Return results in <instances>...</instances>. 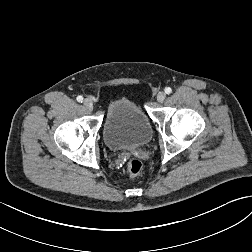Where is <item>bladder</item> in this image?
Wrapping results in <instances>:
<instances>
[{
  "instance_id": "bladder-1",
  "label": "bladder",
  "mask_w": 252,
  "mask_h": 252,
  "mask_svg": "<svg viewBox=\"0 0 252 252\" xmlns=\"http://www.w3.org/2000/svg\"><path fill=\"white\" fill-rule=\"evenodd\" d=\"M103 138L112 151L130 150L151 140L152 126L133 100L119 98L109 103L106 109Z\"/></svg>"
}]
</instances>
